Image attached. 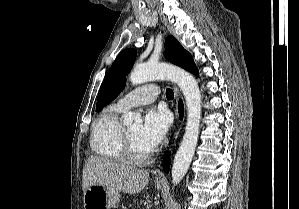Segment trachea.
I'll return each instance as SVG.
<instances>
[{"label":"trachea","instance_id":"trachea-1","mask_svg":"<svg viewBox=\"0 0 299 209\" xmlns=\"http://www.w3.org/2000/svg\"><path fill=\"white\" fill-rule=\"evenodd\" d=\"M166 97H167V99H169V100H172L173 98H174V93H173V91L171 90V89H167L166 90Z\"/></svg>","mask_w":299,"mask_h":209}]
</instances>
